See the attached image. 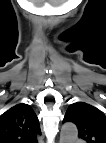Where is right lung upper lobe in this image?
<instances>
[{"instance_id":"cb5924a9","label":"right lung upper lobe","mask_w":106,"mask_h":143,"mask_svg":"<svg viewBox=\"0 0 106 143\" xmlns=\"http://www.w3.org/2000/svg\"><path fill=\"white\" fill-rule=\"evenodd\" d=\"M39 121L28 104H17L0 115V143H37Z\"/></svg>"}]
</instances>
